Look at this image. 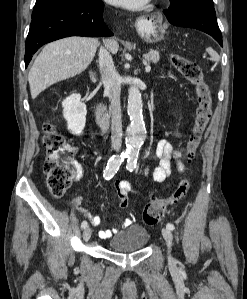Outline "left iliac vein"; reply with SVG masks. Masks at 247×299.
Listing matches in <instances>:
<instances>
[{"instance_id": "left-iliac-vein-1", "label": "left iliac vein", "mask_w": 247, "mask_h": 299, "mask_svg": "<svg viewBox=\"0 0 247 299\" xmlns=\"http://www.w3.org/2000/svg\"><path fill=\"white\" fill-rule=\"evenodd\" d=\"M162 235H163V237H164V239L166 241V245H167V249H168V254H169V256H168L169 261H173V258H172L171 254H170L171 246H172V240H173V235H172L170 229H168V228H163L162 229Z\"/></svg>"}]
</instances>
